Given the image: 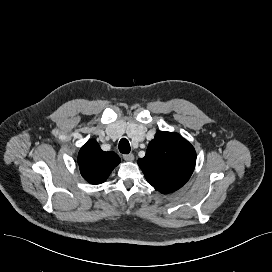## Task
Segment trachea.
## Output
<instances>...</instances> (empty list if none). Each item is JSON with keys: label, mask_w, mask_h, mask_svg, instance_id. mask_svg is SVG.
Listing matches in <instances>:
<instances>
[{"label": "trachea", "mask_w": 272, "mask_h": 272, "mask_svg": "<svg viewBox=\"0 0 272 272\" xmlns=\"http://www.w3.org/2000/svg\"><path fill=\"white\" fill-rule=\"evenodd\" d=\"M130 144L127 139L122 138L119 142V151L122 154H128L130 152Z\"/></svg>", "instance_id": "3493384b"}]
</instances>
